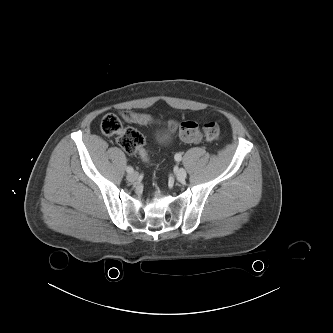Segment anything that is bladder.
I'll return each mask as SVG.
<instances>
[{
	"label": "bladder",
	"instance_id": "31cf9c89",
	"mask_svg": "<svg viewBox=\"0 0 333 333\" xmlns=\"http://www.w3.org/2000/svg\"><path fill=\"white\" fill-rule=\"evenodd\" d=\"M156 138L157 141L161 144H166L170 141V135L167 132H159Z\"/></svg>",
	"mask_w": 333,
	"mask_h": 333
}]
</instances>
